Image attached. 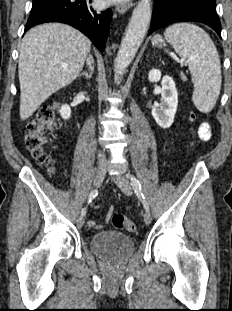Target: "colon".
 I'll use <instances>...</instances> for the list:
<instances>
[{
	"label": "colon",
	"mask_w": 232,
	"mask_h": 311,
	"mask_svg": "<svg viewBox=\"0 0 232 311\" xmlns=\"http://www.w3.org/2000/svg\"><path fill=\"white\" fill-rule=\"evenodd\" d=\"M190 120H195L194 114L190 115ZM56 128V107L54 105L41 108L36 117L27 125V132L24 139L25 146L39 164L49 165L50 163V157L46 151V146L49 141L48 134ZM111 222L117 229L129 232L136 231L135 224L122 214H113L111 216Z\"/></svg>",
	"instance_id": "1"
}]
</instances>
